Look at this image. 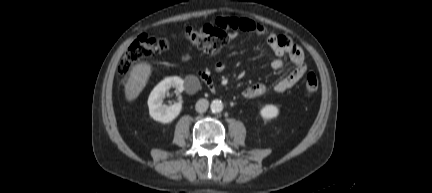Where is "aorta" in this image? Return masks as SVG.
I'll use <instances>...</instances> for the list:
<instances>
[{"label": "aorta", "instance_id": "1", "mask_svg": "<svg viewBox=\"0 0 432 193\" xmlns=\"http://www.w3.org/2000/svg\"><path fill=\"white\" fill-rule=\"evenodd\" d=\"M211 111L214 113H219L223 110V103L221 100H213L210 105Z\"/></svg>", "mask_w": 432, "mask_h": 193}]
</instances>
